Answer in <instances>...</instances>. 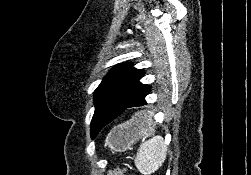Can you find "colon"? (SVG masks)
<instances>
[{"label": "colon", "mask_w": 251, "mask_h": 175, "mask_svg": "<svg viewBox=\"0 0 251 175\" xmlns=\"http://www.w3.org/2000/svg\"><path fill=\"white\" fill-rule=\"evenodd\" d=\"M125 170L122 168H116L107 173V175H124Z\"/></svg>", "instance_id": "obj_1"}]
</instances>
